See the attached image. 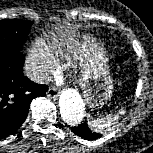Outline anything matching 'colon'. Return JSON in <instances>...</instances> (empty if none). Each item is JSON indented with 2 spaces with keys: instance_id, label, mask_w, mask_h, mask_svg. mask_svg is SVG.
<instances>
[{
  "instance_id": "obj_1",
  "label": "colon",
  "mask_w": 153,
  "mask_h": 153,
  "mask_svg": "<svg viewBox=\"0 0 153 153\" xmlns=\"http://www.w3.org/2000/svg\"><path fill=\"white\" fill-rule=\"evenodd\" d=\"M116 62H117L119 65H121V64L124 63V59H123L122 57H117V58H116Z\"/></svg>"
}]
</instances>
